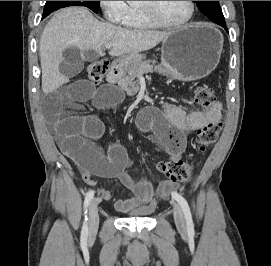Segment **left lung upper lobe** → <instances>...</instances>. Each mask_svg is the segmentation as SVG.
<instances>
[{
	"mask_svg": "<svg viewBox=\"0 0 271 266\" xmlns=\"http://www.w3.org/2000/svg\"><path fill=\"white\" fill-rule=\"evenodd\" d=\"M199 10L211 21L223 26L225 19L219 1H195Z\"/></svg>",
	"mask_w": 271,
	"mask_h": 266,
	"instance_id": "1",
	"label": "left lung upper lobe"
}]
</instances>
